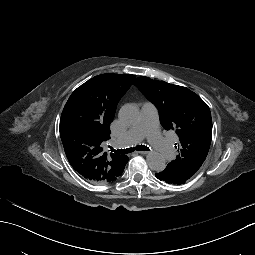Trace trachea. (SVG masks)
<instances>
[{
  "mask_svg": "<svg viewBox=\"0 0 255 255\" xmlns=\"http://www.w3.org/2000/svg\"><path fill=\"white\" fill-rule=\"evenodd\" d=\"M135 150L142 151V150H149V148L144 145H138L136 147L126 148V149H121V150H115V149L111 148L112 152H114L116 154H122V155L134 152Z\"/></svg>",
  "mask_w": 255,
  "mask_h": 255,
  "instance_id": "obj_1",
  "label": "trachea"
}]
</instances>
